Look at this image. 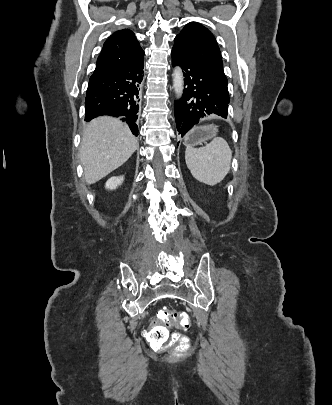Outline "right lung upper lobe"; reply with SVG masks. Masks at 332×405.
Here are the masks:
<instances>
[{
  "instance_id": "obj_1",
  "label": "right lung upper lobe",
  "mask_w": 332,
  "mask_h": 405,
  "mask_svg": "<svg viewBox=\"0 0 332 405\" xmlns=\"http://www.w3.org/2000/svg\"><path fill=\"white\" fill-rule=\"evenodd\" d=\"M144 51L135 35L129 29L113 33L104 43L101 54L97 58L95 72L119 69L141 60Z\"/></svg>"
}]
</instances>
